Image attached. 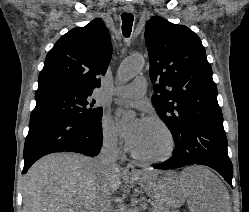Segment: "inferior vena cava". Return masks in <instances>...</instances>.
<instances>
[{"label":"inferior vena cava","instance_id":"602c4592","mask_svg":"<svg viewBox=\"0 0 249 212\" xmlns=\"http://www.w3.org/2000/svg\"><path fill=\"white\" fill-rule=\"evenodd\" d=\"M118 148L117 140H104L99 156L94 162L99 170V188L102 196H106L101 202L102 212H111V194H108L106 188L110 184V174L112 168H119L117 164Z\"/></svg>","mask_w":249,"mask_h":212}]
</instances>
